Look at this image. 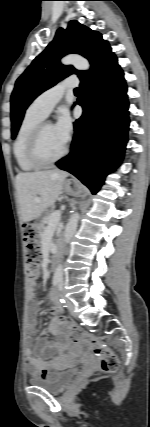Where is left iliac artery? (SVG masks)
Masks as SVG:
<instances>
[{
  "label": "left iliac artery",
  "mask_w": 150,
  "mask_h": 427,
  "mask_svg": "<svg viewBox=\"0 0 150 427\" xmlns=\"http://www.w3.org/2000/svg\"><path fill=\"white\" fill-rule=\"evenodd\" d=\"M60 301H61V303H65V301L63 299H61ZM64 307H67V306H64Z\"/></svg>",
  "instance_id": "obj_1"
}]
</instances>
